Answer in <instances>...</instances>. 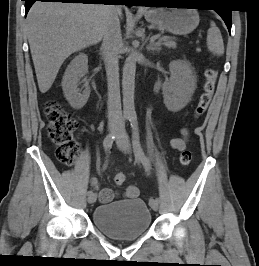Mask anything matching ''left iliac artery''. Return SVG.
Segmentation results:
<instances>
[{"mask_svg": "<svg viewBox=\"0 0 259 266\" xmlns=\"http://www.w3.org/2000/svg\"><path fill=\"white\" fill-rule=\"evenodd\" d=\"M129 121L132 127V143H133L134 154L136 158H138L142 162L146 171H148L150 169V162L148 158L145 156L140 144L137 115L134 113L131 114L129 116ZM155 200L157 203L161 202V199L156 198Z\"/></svg>", "mask_w": 259, "mask_h": 266, "instance_id": "obj_1", "label": "left iliac artery"}]
</instances>
